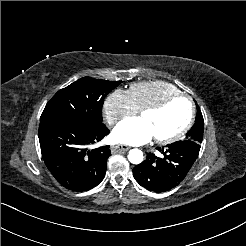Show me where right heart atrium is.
<instances>
[{
    "label": "right heart atrium",
    "mask_w": 246,
    "mask_h": 246,
    "mask_svg": "<svg viewBox=\"0 0 246 246\" xmlns=\"http://www.w3.org/2000/svg\"><path fill=\"white\" fill-rule=\"evenodd\" d=\"M104 114L110 125L136 114L129 91L115 89L106 98L104 103Z\"/></svg>",
    "instance_id": "obj_1"
}]
</instances>
